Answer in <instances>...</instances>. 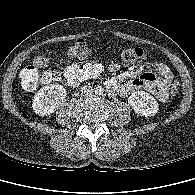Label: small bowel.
I'll use <instances>...</instances> for the list:
<instances>
[{
	"label": "small bowel",
	"mask_w": 195,
	"mask_h": 195,
	"mask_svg": "<svg viewBox=\"0 0 195 195\" xmlns=\"http://www.w3.org/2000/svg\"><path fill=\"white\" fill-rule=\"evenodd\" d=\"M147 59V55L143 60ZM156 72L147 71L145 66L132 68L124 74L110 77L106 80V87L113 95L127 96L137 90H146L153 94L159 101L168 99V88L173 79L170 68L162 63H154ZM120 64L113 62L108 66L111 73L120 70ZM103 71V65L97 61H87L84 64L71 63L62 70L67 83L77 87L85 81L96 78Z\"/></svg>",
	"instance_id": "obj_1"
}]
</instances>
